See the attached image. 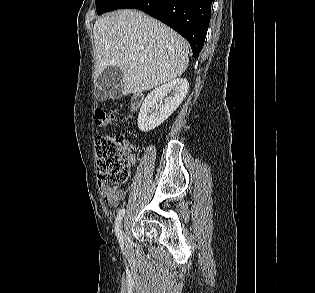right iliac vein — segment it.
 <instances>
[{
    "label": "right iliac vein",
    "instance_id": "1",
    "mask_svg": "<svg viewBox=\"0 0 315 293\" xmlns=\"http://www.w3.org/2000/svg\"><path fill=\"white\" fill-rule=\"evenodd\" d=\"M124 245H125V248L126 249H129V244H128V242H127V240L125 239V243H124Z\"/></svg>",
    "mask_w": 315,
    "mask_h": 293
}]
</instances>
